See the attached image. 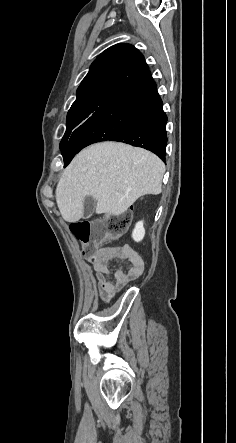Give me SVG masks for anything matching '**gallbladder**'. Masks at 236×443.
Here are the masks:
<instances>
[{
  "instance_id": "gallbladder-1",
  "label": "gallbladder",
  "mask_w": 236,
  "mask_h": 443,
  "mask_svg": "<svg viewBox=\"0 0 236 443\" xmlns=\"http://www.w3.org/2000/svg\"><path fill=\"white\" fill-rule=\"evenodd\" d=\"M96 203L97 201L95 198L91 196L85 197L83 203V216H82L83 219H87L93 214L96 207Z\"/></svg>"
}]
</instances>
